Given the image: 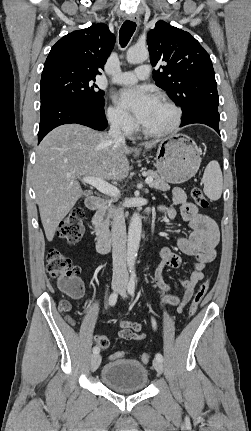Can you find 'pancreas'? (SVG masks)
<instances>
[{
	"label": "pancreas",
	"instance_id": "obj_1",
	"mask_svg": "<svg viewBox=\"0 0 251 431\" xmlns=\"http://www.w3.org/2000/svg\"><path fill=\"white\" fill-rule=\"evenodd\" d=\"M148 177H152L153 181L149 184L151 188H155L162 191H167L170 189V186L168 183H166L165 180H163L159 174L153 170H148L145 173ZM114 210L112 207H105L100 211V216L103 220V225L108 230V226L110 223V218L113 216Z\"/></svg>",
	"mask_w": 251,
	"mask_h": 431
}]
</instances>
